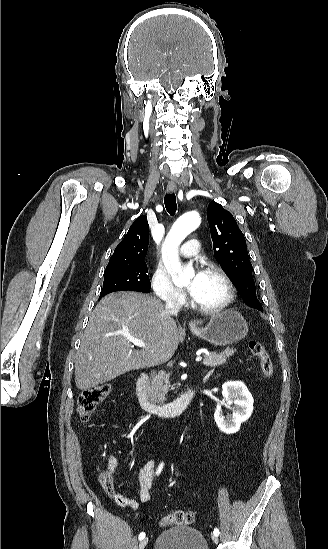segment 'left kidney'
Instances as JSON below:
<instances>
[{
  "mask_svg": "<svg viewBox=\"0 0 328 549\" xmlns=\"http://www.w3.org/2000/svg\"><path fill=\"white\" fill-rule=\"evenodd\" d=\"M223 403L215 409L214 419L220 431L226 435L237 433L241 423H245L252 415L254 399L246 385L241 381H227L222 387ZM231 409L232 415L224 417L222 407ZM233 405V407H231Z\"/></svg>",
  "mask_w": 328,
  "mask_h": 549,
  "instance_id": "left-kidney-1",
  "label": "left kidney"
}]
</instances>
